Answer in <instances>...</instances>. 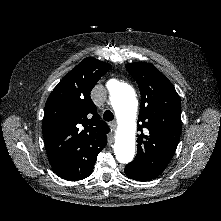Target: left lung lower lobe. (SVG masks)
Wrapping results in <instances>:
<instances>
[{
  "label": "left lung lower lobe",
  "mask_w": 221,
  "mask_h": 221,
  "mask_svg": "<svg viewBox=\"0 0 221 221\" xmlns=\"http://www.w3.org/2000/svg\"><path fill=\"white\" fill-rule=\"evenodd\" d=\"M125 174L133 179V180H137V181H149L151 179L156 178L157 176H159L161 173H137L131 169H128L125 167Z\"/></svg>",
  "instance_id": "1"
}]
</instances>
